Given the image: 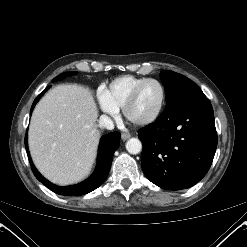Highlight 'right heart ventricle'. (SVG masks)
Returning a JSON list of instances; mask_svg holds the SVG:
<instances>
[{
  "label": "right heart ventricle",
  "mask_w": 247,
  "mask_h": 247,
  "mask_svg": "<svg viewBox=\"0 0 247 247\" xmlns=\"http://www.w3.org/2000/svg\"><path fill=\"white\" fill-rule=\"evenodd\" d=\"M144 77H137L133 75H124L115 78L110 82L105 90V94L109 103L117 110L122 109L127 97L133 88L145 80Z\"/></svg>",
  "instance_id": "right-heart-ventricle-1"
}]
</instances>
